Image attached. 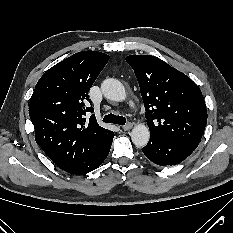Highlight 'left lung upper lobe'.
<instances>
[{
  "mask_svg": "<svg viewBox=\"0 0 233 233\" xmlns=\"http://www.w3.org/2000/svg\"><path fill=\"white\" fill-rule=\"evenodd\" d=\"M126 61L139 83L150 135L196 149L207 122L199 87L155 56L130 55Z\"/></svg>",
  "mask_w": 233,
  "mask_h": 233,
  "instance_id": "1",
  "label": "left lung upper lobe"
}]
</instances>
